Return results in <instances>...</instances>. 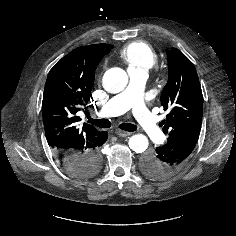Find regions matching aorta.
I'll list each match as a JSON object with an SVG mask.
<instances>
[{
    "label": "aorta",
    "mask_w": 236,
    "mask_h": 236,
    "mask_svg": "<svg viewBox=\"0 0 236 236\" xmlns=\"http://www.w3.org/2000/svg\"><path fill=\"white\" fill-rule=\"evenodd\" d=\"M103 87L109 93H119L125 89L128 83L127 73L118 67L108 69L103 76ZM129 148L142 153L148 148V138L143 134H135L129 139Z\"/></svg>",
    "instance_id": "762f6f07"
}]
</instances>
